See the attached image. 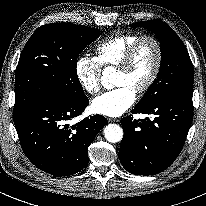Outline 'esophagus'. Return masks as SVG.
Listing matches in <instances>:
<instances>
[{"label": "esophagus", "mask_w": 206, "mask_h": 206, "mask_svg": "<svg viewBox=\"0 0 206 206\" xmlns=\"http://www.w3.org/2000/svg\"><path fill=\"white\" fill-rule=\"evenodd\" d=\"M108 121L109 122H119V119L118 118H108Z\"/></svg>", "instance_id": "esophagus-1"}]
</instances>
